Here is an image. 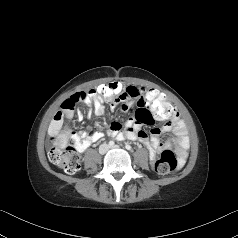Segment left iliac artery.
I'll return each instance as SVG.
<instances>
[{"mask_svg": "<svg viewBox=\"0 0 238 238\" xmlns=\"http://www.w3.org/2000/svg\"><path fill=\"white\" fill-rule=\"evenodd\" d=\"M125 148H126L127 150H131V146H130L129 144H126Z\"/></svg>", "mask_w": 238, "mask_h": 238, "instance_id": "left-iliac-artery-1", "label": "left iliac artery"}]
</instances>
